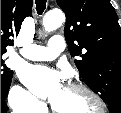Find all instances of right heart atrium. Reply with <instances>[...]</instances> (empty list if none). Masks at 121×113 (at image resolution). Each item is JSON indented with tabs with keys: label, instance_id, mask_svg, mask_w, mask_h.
<instances>
[{
	"label": "right heart atrium",
	"instance_id": "1",
	"mask_svg": "<svg viewBox=\"0 0 121 113\" xmlns=\"http://www.w3.org/2000/svg\"><path fill=\"white\" fill-rule=\"evenodd\" d=\"M9 101L14 110L24 113H35L43 108V105L31 93L18 85L11 88Z\"/></svg>",
	"mask_w": 121,
	"mask_h": 113
}]
</instances>
